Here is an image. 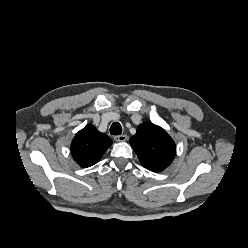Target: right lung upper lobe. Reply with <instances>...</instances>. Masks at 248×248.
Instances as JSON below:
<instances>
[{"instance_id": "cb5924a9", "label": "right lung upper lobe", "mask_w": 248, "mask_h": 248, "mask_svg": "<svg viewBox=\"0 0 248 248\" xmlns=\"http://www.w3.org/2000/svg\"><path fill=\"white\" fill-rule=\"evenodd\" d=\"M112 140L93 125H86L71 143L73 159L83 168L96 164L111 146Z\"/></svg>"}]
</instances>
